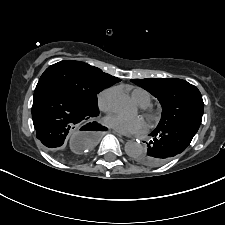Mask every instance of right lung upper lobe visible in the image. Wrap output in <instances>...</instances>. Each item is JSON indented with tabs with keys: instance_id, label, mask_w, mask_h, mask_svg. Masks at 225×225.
Masks as SVG:
<instances>
[{
	"instance_id": "right-lung-upper-lobe-1",
	"label": "right lung upper lobe",
	"mask_w": 225,
	"mask_h": 225,
	"mask_svg": "<svg viewBox=\"0 0 225 225\" xmlns=\"http://www.w3.org/2000/svg\"><path fill=\"white\" fill-rule=\"evenodd\" d=\"M106 78H108L113 84L120 81L117 77L111 76L109 74L103 73L100 69H98Z\"/></svg>"
}]
</instances>
